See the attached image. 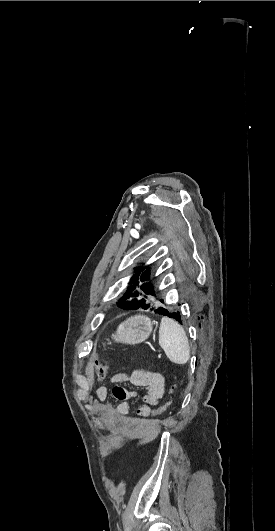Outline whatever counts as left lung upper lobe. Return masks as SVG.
<instances>
[{"instance_id":"1","label":"left lung upper lobe","mask_w":275,"mask_h":531,"mask_svg":"<svg viewBox=\"0 0 275 531\" xmlns=\"http://www.w3.org/2000/svg\"><path fill=\"white\" fill-rule=\"evenodd\" d=\"M142 271H144L143 267L136 269L135 274L131 277L130 283H133L134 285L129 286L125 295L120 299V302L117 304L120 308L126 310L151 308L152 303L149 301L148 295H154L153 289L148 285V283H146L140 287L144 294L136 290V287H139L140 285L139 280L144 282L149 278V270H146L145 272ZM132 291H134L133 294H131ZM130 297L132 299H130ZM161 302H163V300H161Z\"/></svg>"}]
</instances>
